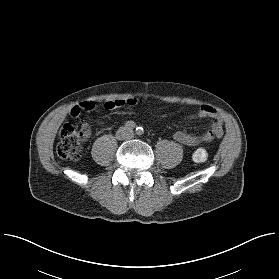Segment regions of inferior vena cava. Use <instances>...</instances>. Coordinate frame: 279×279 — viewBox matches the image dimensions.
<instances>
[{"label":"inferior vena cava","instance_id":"1","mask_svg":"<svg viewBox=\"0 0 279 279\" xmlns=\"http://www.w3.org/2000/svg\"><path fill=\"white\" fill-rule=\"evenodd\" d=\"M130 137H132V132L131 131H125L121 136H118V139L122 140V139H128Z\"/></svg>","mask_w":279,"mask_h":279}]
</instances>
